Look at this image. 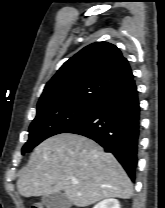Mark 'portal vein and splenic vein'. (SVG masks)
I'll return each mask as SVG.
<instances>
[{
    "mask_svg": "<svg viewBox=\"0 0 165 208\" xmlns=\"http://www.w3.org/2000/svg\"><path fill=\"white\" fill-rule=\"evenodd\" d=\"M78 182L77 181H73V184H77Z\"/></svg>",
    "mask_w": 165,
    "mask_h": 208,
    "instance_id": "1",
    "label": "portal vein and splenic vein"
}]
</instances>
